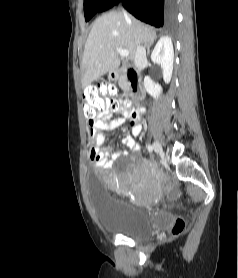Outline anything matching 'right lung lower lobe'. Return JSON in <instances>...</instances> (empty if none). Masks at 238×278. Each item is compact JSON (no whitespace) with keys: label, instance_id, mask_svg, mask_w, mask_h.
I'll use <instances>...</instances> for the list:
<instances>
[{"label":"right lung lower lobe","instance_id":"98d812e1","mask_svg":"<svg viewBox=\"0 0 238 278\" xmlns=\"http://www.w3.org/2000/svg\"><path fill=\"white\" fill-rule=\"evenodd\" d=\"M119 3L136 18L155 27L171 24L175 19L176 0H105L97 12Z\"/></svg>","mask_w":238,"mask_h":278}]
</instances>
